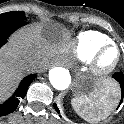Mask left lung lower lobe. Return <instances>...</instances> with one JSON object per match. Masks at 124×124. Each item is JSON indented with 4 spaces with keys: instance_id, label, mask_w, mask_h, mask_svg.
I'll return each mask as SVG.
<instances>
[{
    "instance_id": "1",
    "label": "left lung lower lobe",
    "mask_w": 124,
    "mask_h": 124,
    "mask_svg": "<svg viewBox=\"0 0 124 124\" xmlns=\"http://www.w3.org/2000/svg\"><path fill=\"white\" fill-rule=\"evenodd\" d=\"M113 78L120 84V88H121V100L119 105L122 103L123 97H124V75L122 72H117L113 75ZM116 103V102H115ZM54 108L56 109V111L59 113V109L57 107V105L54 103Z\"/></svg>"
}]
</instances>
